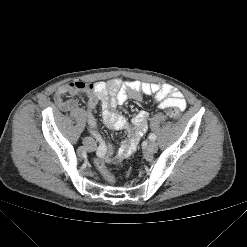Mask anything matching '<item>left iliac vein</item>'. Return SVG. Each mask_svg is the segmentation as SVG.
Masks as SVG:
<instances>
[{"label":"left iliac vein","mask_w":247,"mask_h":247,"mask_svg":"<svg viewBox=\"0 0 247 247\" xmlns=\"http://www.w3.org/2000/svg\"><path fill=\"white\" fill-rule=\"evenodd\" d=\"M158 150V145L156 142L152 141L149 143V145L145 149V153L147 155L154 154Z\"/></svg>","instance_id":"left-iliac-vein-1"}]
</instances>
